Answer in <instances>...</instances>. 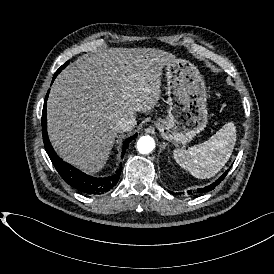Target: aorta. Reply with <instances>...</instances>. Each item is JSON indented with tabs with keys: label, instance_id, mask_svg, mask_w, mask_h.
<instances>
[{
	"label": "aorta",
	"instance_id": "obj_1",
	"mask_svg": "<svg viewBox=\"0 0 274 274\" xmlns=\"http://www.w3.org/2000/svg\"><path fill=\"white\" fill-rule=\"evenodd\" d=\"M155 148V141L151 136H142L137 141V150L141 154H149Z\"/></svg>",
	"mask_w": 274,
	"mask_h": 274
}]
</instances>
